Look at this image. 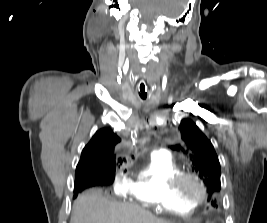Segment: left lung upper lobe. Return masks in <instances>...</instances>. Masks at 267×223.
<instances>
[{
	"mask_svg": "<svg viewBox=\"0 0 267 223\" xmlns=\"http://www.w3.org/2000/svg\"><path fill=\"white\" fill-rule=\"evenodd\" d=\"M179 129L182 140L186 144L188 159L205 183L207 191L209 194L220 191V163L210 140L190 119H183ZM173 149H177V147H173ZM211 206L217 207L216 200L211 201Z\"/></svg>",
	"mask_w": 267,
	"mask_h": 223,
	"instance_id": "5c2ea615",
	"label": "left lung upper lobe"
}]
</instances>
